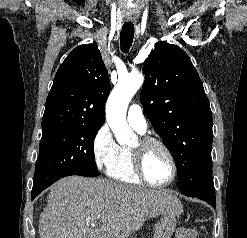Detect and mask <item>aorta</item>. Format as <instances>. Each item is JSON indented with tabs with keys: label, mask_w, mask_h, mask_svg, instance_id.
Returning a JSON list of instances; mask_svg holds the SVG:
<instances>
[{
	"label": "aorta",
	"mask_w": 247,
	"mask_h": 238,
	"mask_svg": "<svg viewBox=\"0 0 247 238\" xmlns=\"http://www.w3.org/2000/svg\"><path fill=\"white\" fill-rule=\"evenodd\" d=\"M144 81L140 73H132L118 80L106 103L107 122L121 145L130 144L135 135L126 121V111L133 95Z\"/></svg>",
	"instance_id": "762f6f07"
}]
</instances>
